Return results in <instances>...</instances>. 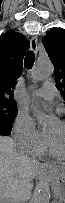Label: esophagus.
Here are the masks:
<instances>
[{
    "mask_svg": "<svg viewBox=\"0 0 65 203\" xmlns=\"http://www.w3.org/2000/svg\"><path fill=\"white\" fill-rule=\"evenodd\" d=\"M37 44H38V39H37L36 36H33V37L31 38V40H30V47H31V50H32L33 52H35V53L38 51V46H37Z\"/></svg>",
    "mask_w": 65,
    "mask_h": 203,
    "instance_id": "1",
    "label": "esophagus"
}]
</instances>
